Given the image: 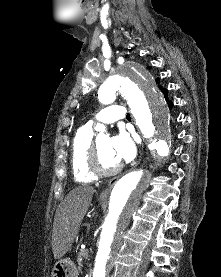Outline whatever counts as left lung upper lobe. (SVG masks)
I'll list each match as a JSON object with an SVG mask.
<instances>
[{"label":"left lung upper lobe","mask_w":221,"mask_h":277,"mask_svg":"<svg viewBox=\"0 0 221 277\" xmlns=\"http://www.w3.org/2000/svg\"><path fill=\"white\" fill-rule=\"evenodd\" d=\"M156 82L159 83V78L156 79ZM160 87V86H159ZM160 89L162 90L163 88L160 87Z\"/></svg>","instance_id":"obj_1"}]
</instances>
